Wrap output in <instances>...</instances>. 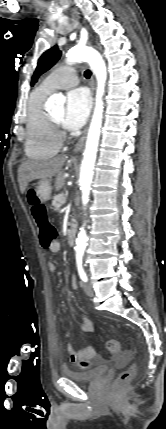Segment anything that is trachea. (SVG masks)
Returning <instances> with one entry per match:
<instances>
[{"label": "trachea", "mask_w": 166, "mask_h": 429, "mask_svg": "<svg viewBox=\"0 0 166 429\" xmlns=\"http://www.w3.org/2000/svg\"><path fill=\"white\" fill-rule=\"evenodd\" d=\"M84 76H85L86 78H90V76H91V71H90V70H86V71L84 72Z\"/></svg>", "instance_id": "3493384b"}]
</instances>
